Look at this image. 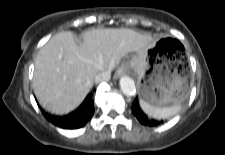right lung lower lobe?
Segmentation results:
<instances>
[{
	"label": "right lung lower lobe",
	"instance_id": "98d812e1",
	"mask_svg": "<svg viewBox=\"0 0 225 155\" xmlns=\"http://www.w3.org/2000/svg\"><path fill=\"white\" fill-rule=\"evenodd\" d=\"M92 93L88 95L82 107L66 116L59 117L41 110L45 118L56 126L66 129H77L83 127L94 114Z\"/></svg>",
	"mask_w": 225,
	"mask_h": 155
}]
</instances>
